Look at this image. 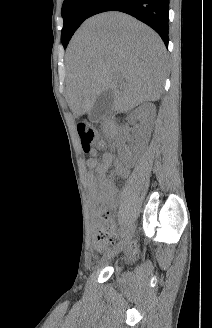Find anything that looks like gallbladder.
Segmentation results:
<instances>
[{
  "label": "gallbladder",
  "mask_w": 212,
  "mask_h": 328,
  "mask_svg": "<svg viewBox=\"0 0 212 328\" xmlns=\"http://www.w3.org/2000/svg\"><path fill=\"white\" fill-rule=\"evenodd\" d=\"M114 105V94L111 89L102 92L88 111V118L91 122H98L105 115L109 114Z\"/></svg>",
  "instance_id": "obj_1"
}]
</instances>
